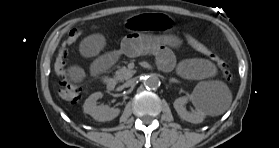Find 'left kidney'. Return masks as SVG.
Masks as SVG:
<instances>
[{"mask_svg":"<svg viewBox=\"0 0 279 148\" xmlns=\"http://www.w3.org/2000/svg\"><path fill=\"white\" fill-rule=\"evenodd\" d=\"M188 100H191L195 107V110L191 112L187 111L185 108V104ZM173 106L182 119L194 124L201 123L207 114V107L195 90L189 96L177 98L174 101Z\"/></svg>","mask_w":279,"mask_h":148,"instance_id":"1","label":"left kidney"}]
</instances>
